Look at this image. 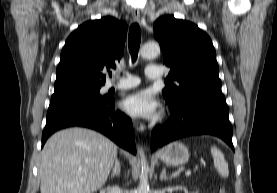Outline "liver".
I'll return each instance as SVG.
<instances>
[{
  "instance_id": "6515ba94",
  "label": "liver",
  "mask_w": 277,
  "mask_h": 193,
  "mask_svg": "<svg viewBox=\"0 0 277 193\" xmlns=\"http://www.w3.org/2000/svg\"><path fill=\"white\" fill-rule=\"evenodd\" d=\"M118 147L102 134L69 128L53 134L41 152V193H93L101 188Z\"/></svg>"
}]
</instances>
